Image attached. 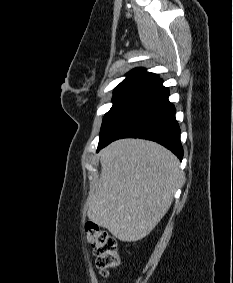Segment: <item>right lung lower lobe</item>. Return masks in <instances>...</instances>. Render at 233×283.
<instances>
[{"mask_svg": "<svg viewBox=\"0 0 233 283\" xmlns=\"http://www.w3.org/2000/svg\"><path fill=\"white\" fill-rule=\"evenodd\" d=\"M162 83V79H157L140 94L97 151L117 139L142 138L163 145L182 159L183 148L175 108L168 100V88Z\"/></svg>", "mask_w": 233, "mask_h": 283, "instance_id": "1", "label": "right lung lower lobe"}]
</instances>
